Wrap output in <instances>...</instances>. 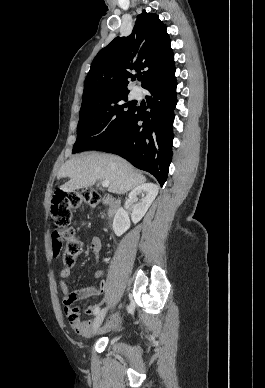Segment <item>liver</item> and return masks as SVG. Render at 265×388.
<instances>
[{"label":"liver","instance_id":"liver-1","mask_svg":"<svg viewBox=\"0 0 265 388\" xmlns=\"http://www.w3.org/2000/svg\"><path fill=\"white\" fill-rule=\"evenodd\" d=\"M60 178H70L69 182L62 186L65 192L91 188L96 184V180H108V192L126 194L146 182L145 176L136 174L129 162L109 154H88L71 158L60 168L57 180Z\"/></svg>","mask_w":265,"mask_h":388}]
</instances>
